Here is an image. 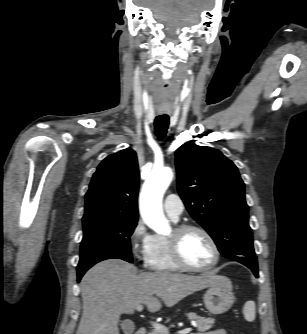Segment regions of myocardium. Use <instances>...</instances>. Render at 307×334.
I'll use <instances>...</instances> for the list:
<instances>
[{
  "instance_id": "myocardium-1",
  "label": "myocardium",
  "mask_w": 307,
  "mask_h": 334,
  "mask_svg": "<svg viewBox=\"0 0 307 334\" xmlns=\"http://www.w3.org/2000/svg\"><path fill=\"white\" fill-rule=\"evenodd\" d=\"M190 231L200 232L210 242L213 248V251H214V258H213V261L209 265L204 266V267L192 266L184 258L182 251H181V240H182V237ZM173 232H174L173 235L167 238V243H168L170 255L173 261L175 262V264L180 269H183L186 271H192V272H204V271L211 270L218 264L219 259H220V249H219V246L216 240L214 239V237L211 235V233L208 230H206L205 228L199 225H195V224H180L174 227Z\"/></svg>"
}]
</instances>
